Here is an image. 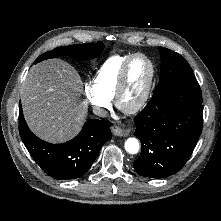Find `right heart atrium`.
I'll return each instance as SVG.
<instances>
[{"label":"right heart atrium","instance_id":"d8ad5b80","mask_svg":"<svg viewBox=\"0 0 221 221\" xmlns=\"http://www.w3.org/2000/svg\"><path fill=\"white\" fill-rule=\"evenodd\" d=\"M84 94L93 110L99 115H103L111 106V99L101 94L93 82H87L85 84Z\"/></svg>","mask_w":221,"mask_h":221}]
</instances>
